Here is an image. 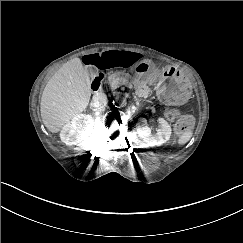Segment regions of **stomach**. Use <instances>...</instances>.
<instances>
[{
	"label": "stomach",
	"mask_w": 243,
	"mask_h": 243,
	"mask_svg": "<svg viewBox=\"0 0 243 243\" xmlns=\"http://www.w3.org/2000/svg\"><path fill=\"white\" fill-rule=\"evenodd\" d=\"M135 74L147 85H154L158 98L167 105H181L191 96L187 77L173 67L158 70L150 61L140 62Z\"/></svg>",
	"instance_id": "stomach-1"
}]
</instances>
